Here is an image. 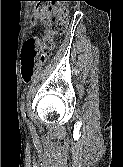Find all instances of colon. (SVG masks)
<instances>
[{"instance_id":"1","label":"colon","mask_w":123,"mask_h":167,"mask_svg":"<svg viewBox=\"0 0 123 167\" xmlns=\"http://www.w3.org/2000/svg\"><path fill=\"white\" fill-rule=\"evenodd\" d=\"M37 18L46 25L49 35H60L67 26V10L60 8L54 13L45 5L36 11ZM47 37L42 43L39 38L31 36L24 42L21 56V75L25 82H30L36 67L45 62L49 57V49L53 42L51 37Z\"/></svg>"}]
</instances>
